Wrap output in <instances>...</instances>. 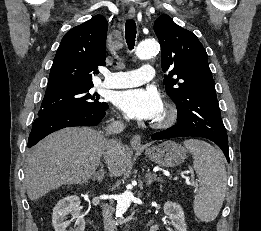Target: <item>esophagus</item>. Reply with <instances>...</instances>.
Instances as JSON below:
<instances>
[{
    "mask_svg": "<svg viewBox=\"0 0 261 231\" xmlns=\"http://www.w3.org/2000/svg\"><path fill=\"white\" fill-rule=\"evenodd\" d=\"M128 15L130 18H134L136 15V11L134 6H130L129 11H128ZM130 145L133 148H143L144 146L141 143V136L139 134H135L131 141H130Z\"/></svg>",
    "mask_w": 261,
    "mask_h": 231,
    "instance_id": "obj_1",
    "label": "esophagus"
}]
</instances>
